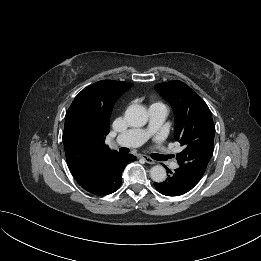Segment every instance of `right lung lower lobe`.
<instances>
[{
    "label": "right lung lower lobe",
    "mask_w": 261,
    "mask_h": 261,
    "mask_svg": "<svg viewBox=\"0 0 261 261\" xmlns=\"http://www.w3.org/2000/svg\"><path fill=\"white\" fill-rule=\"evenodd\" d=\"M135 160L136 157L131 154H115L104 160L88 178L78 183L92 194H111L120 187L121 174L125 166Z\"/></svg>",
    "instance_id": "right-lung-lower-lobe-1"
}]
</instances>
